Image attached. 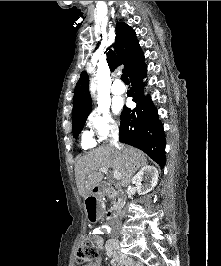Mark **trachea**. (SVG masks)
<instances>
[{
    "instance_id": "1",
    "label": "trachea",
    "mask_w": 221,
    "mask_h": 266,
    "mask_svg": "<svg viewBox=\"0 0 221 266\" xmlns=\"http://www.w3.org/2000/svg\"><path fill=\"white\" fill-rule=\"evenodd\" d=\"M121 80L125 83V84H129V79L128 76L126 74H122L121 75Z\"/></svg>"
}]
</instances>
